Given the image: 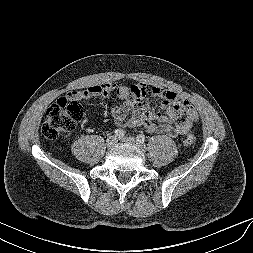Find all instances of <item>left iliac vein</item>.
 <instances>
[{
  "label": "left iliac vein",
  "mask_w": 253,
  "mask_h": 253,
  "mask_svg": "<svg viewBox=\"0 0 253 253\" xmlns=\"http://www.w3.org/2000/svg\"><path fill=\"white\" fill-rule=\"evenodd\" d=\"M123 140L126 142V143H129V144H132V145H136L137 147H139L141 150H144L145 146L142 144V143H139L137 141V139L131 137V136H127L125 138H123Z\"/></svg>",
  "instance_id": "obj_1"
}]
</instances>
